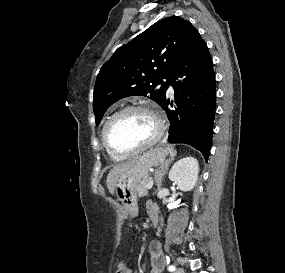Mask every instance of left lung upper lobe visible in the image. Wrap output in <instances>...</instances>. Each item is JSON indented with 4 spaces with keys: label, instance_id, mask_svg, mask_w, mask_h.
<instances>
[{
    "label": "left lung upper lobe",
    "instance_id": "left-lung-upper-lobe-1",
    "mask_svg": "<svg viewBox=\"0 0 285 273\" xmlns=\"http://www.w3.org/2000/svg\"><path fill=\"white\" fill-rule=\"evenodd\" d=\"M194 30L189 21L171 16L118 48L96 78L93 98L96 125L105 111L124 97L146 96L161 105L172 72Z\"/></svg>",
    "mask_w": 285,
    "mask_h": 273
}]
</instances>
